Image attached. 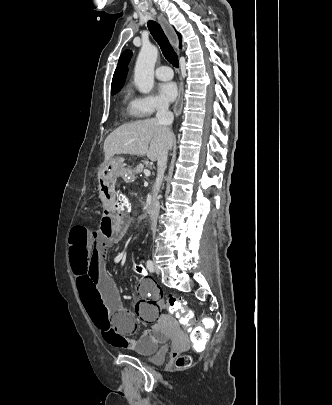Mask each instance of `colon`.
Instances as JSON below:
<instances>
[{"label": "colon", "instance_id": "colon-1", "mask_svg": "<svg viewBox=\"0 0 332 405\" xmlns=\"http://www.w3.org/2000/svg\"><path fill=\"white\" fill-rule=\"evenodd\" d=\"M116 192L117 202L114 204L116 211L118 213L121 212L123 216H128L133 206V201L132 199H128L123 192L117 190ZM144 268L145 263L143 261H136L133 264V272L140 273L141 278L147 277V272L144 271ZM166 305L169 311L179 319L180 324H183L185 328H192L194 326V317L191 310L184 306L180 299L173 295H168L166 297ZM198 322L200 325L194 328L191 332V340L196 346L200 347L208 340L209 331L211 329L210 324L213 322V317L212 315H199ZM174 357L177 367H185L190 363V360L186 355L175 353Z\"/></svg>", "mask_w": 332, "mask_h": 405}]
</instances>
